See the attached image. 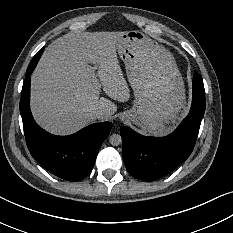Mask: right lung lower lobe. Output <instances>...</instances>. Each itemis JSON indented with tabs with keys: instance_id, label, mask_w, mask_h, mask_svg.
Here are the masks:
<instances>
[{
	"instance_id": "98d812e1",
	"label": "right lung lower lobe",
	"mask_w": 233,
	"mask_h": 233,
	"mask_svg": "<svg viewBox=\"0 0 233 233\" xmlns=\"http://www.w3.org/2000/svg\"><path fill=\"white\" fill-rule=\"evenodd\" d=\"M43 50L34 56L27 68L20 100L27 147L32 157L46 170L64 180L77 182L91 173L112 123L92 124L69 136L52 135L36 124L30 111V75Z\"/></svg>"
}]
</instances>
